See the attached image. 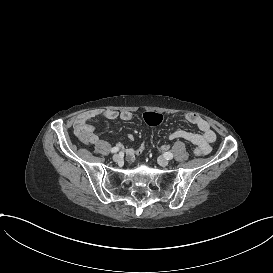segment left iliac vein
<instances>
[{"label": "left iliac vein", "mask_w": 273, "mask_h": 273, "mask_svg": "<svg viewBox=\"0 0 273 273\" xmlns=\"http://www.w3.org/2000/svg\"><path fill=\"white\" fill-rule=\"evenodd\" d=\"M158 163L161 165V166H166L168 164V160L164 157H159L158 158Z\"/></svg>", "instance_id": "1"}]
</instances>
